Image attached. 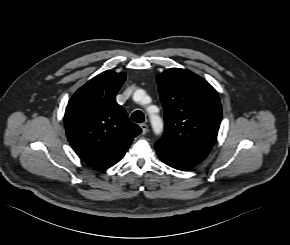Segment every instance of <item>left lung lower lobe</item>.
Masks as SVG:
<instances>
[{
	"label": "left lung lower lobe",
	"mask_w": 290,
	"mask_h": 245,
	"mask_svg": "<svg viewBox=\"0 0 290 245\" xmlns=\"http://www.w3.org/2000/svg\"><path fill=\"white\" fill-rule=\"evenodd\" d=\"M156 152L159 158L167 165L178 170H189L195 167L198 163L195 161L184 159L174 153L169 152L159 145H155Z\"/></svg>",
	"instance_id": "0a47b994"
}]
</instances>
